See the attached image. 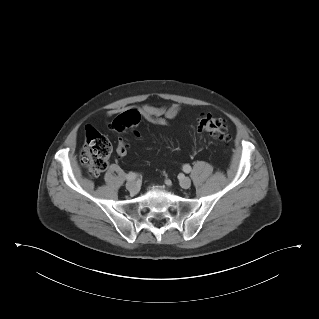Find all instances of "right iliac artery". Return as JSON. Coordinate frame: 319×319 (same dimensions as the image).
Masks as SVG:
<instances>
[{"label": "right iliac artery", "instance_id": "obj_1", "mask_svg": "<svg viewBox=\"0 0 319 319\" xmlns=\"http://www.w3.org/2000/svg\"><path fill=\"white\" fill-rule=\"evenodd\" d=\"M138 177V175L134 172H130L126 175V180L132 181L135 180Z\"/></svg>", "mask_w": 319, "mask_h": 319}]
</instances>
